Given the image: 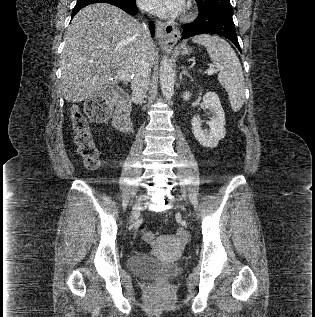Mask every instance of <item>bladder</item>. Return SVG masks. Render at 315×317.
<instances>
[{
    "mask_svg": "<svg viewBox=\"0 0 315 317\" xmlns=\"http://www.w3.org/2000/svg\"><path fill=\"white\" fill-rule=\"evenodd\" d=\"M130 270L144 278L172 277L182 270L181 263H164L149 255H133L128 262Z\"/></svg>",
    "mask_w": 315,
    "mask_h": 317,
    "instance_id": "bladder-1",
    "label": "bladder"
}]
</instances>
